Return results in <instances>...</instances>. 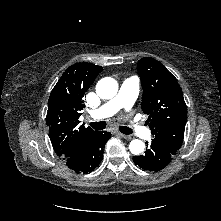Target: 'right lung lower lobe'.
I'll return each instance as SVG.
<instances>
[{"label": "right lung lower lobe", "instance_id": "right-lung-lower-lobe-1", "mask_svg": "<svg viewBox=\"0 0 221 221\" xmlns=\"http://www.w3.org/2000/svg\"><path fill=\"white\" fill-rule=\"evenodd\" d=\"M110 137V132H96L83 155L66 159V165L76 173L93 171L102 161L103 149Z\"/></svg>", "mask_w": 221, "mask_h": 221}]
</instances>
